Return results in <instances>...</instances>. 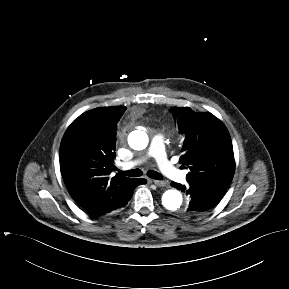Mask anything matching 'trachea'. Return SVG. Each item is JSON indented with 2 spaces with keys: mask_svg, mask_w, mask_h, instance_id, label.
Returning a JSON list of instances; mask_svg holds the SVG:
<instances>
[{
  "mask_svg": "<svg viewBox=\"0 0 289 289\" xmlns=\"http://www.w3.org/2000/svg\"><path fill=\"white\" fill-rule=\"evenodd\" d=\"M119 173L121 175H125V176H129V177H139L142 175V171L140 169H133V170H129V171H119ZM147 175L155 180H161L162 179V175L154 170H149L147 172Z\"/></svg>",
  "mask_w": 289,
  "mask_h": 289,
  "instance_id": "obj_1",
  "label": "trachea"
}]
</instances>
